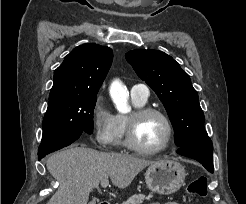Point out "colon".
I'll return each mask as SVG.
<instances>
[{
  "instance_id": "obj_1",
  "label": "colon",
  "mask_w": 246,
  "mask_h": 204,
  "mask_svg": "<svg viewBox=\"0 0 246 204\" xmlns=\"http://www.w3.org/2000/svg\"><path fill=\"white\" fill-rule=\"evenodd\" d=\"M188 194L194 198H204L208 194L207 178L200 176L192 180L187 187Z\"/></svg>"
}]
</instances>
